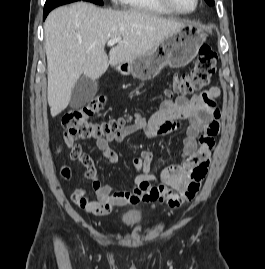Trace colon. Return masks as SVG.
<instances>
[{
  "instance_id": "5ec220e1",
  "label": "colon",
  "mask_w": 265,
  "mask_h": 269,
  "mask_svg": "<svg viewBox=\"0 0 265 269\" xmlns=\"http://www.w3.org/2000/svg\"><path fill=\"white\" fill-rule=\"evenodd\" d=\"M217 64V54L210 45H202L199 49L193 69L188 73H176L173 76V91L181 95H190L207 88L211 83L212 76L215 73ZM105 97L99 96L91 100L86 105L68 111L62 118L63 140L66 147H69L72 141L76 139H90L101 136H111L118 134L129 119L112 118L102 123H96L91 117L100 112L105 105ZM218 126L213 123L208 133L215 135ZM64 177L69 176V170L63 169ZM197 188L191 186L188 198L192 199ZM148 195L153 200L173 201L179 203L180 197L177 194H171L161 187H150Z\"/></svg>"
}]
</instances>
